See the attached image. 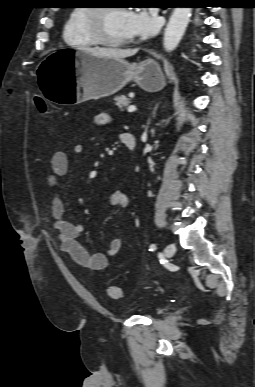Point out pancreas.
Listing matches in <instances>:
<instances>
[{"instance_id": "cf45deb5", "label": "pancreas", "mask_w": 255, "mask_h": 387, "mask_svg": "<svg viewBox=\"0 0 255 387\" xmlns=\"http://www.w3.org/2000/svg\"><path fill=\"white\" fill-rule=\"evenodd\" d=\"M114 101L121 111H123V109L131 103L130 99H128L125 95L116 96Z\"/></svg>"}]
</instances>
